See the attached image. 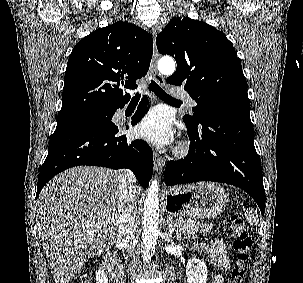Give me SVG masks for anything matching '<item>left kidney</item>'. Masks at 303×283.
<instances>
[{
  "mask_svg": "<svg viewBox=\"0 0 303 283\" xmlns=\"http://www.w3.org/2000/svg\"><path fill=\"white\" fill-rule=\"evenodd\" d=\"M186 275L188 283H206L208 269L206 264L197 258H192L186 266Z\"/></svg>",
  "mask_w": 303,
  "mask_h": 283,
  "instance_id": "obj_1",
  "label": "left kidney"
}]
</instances>
